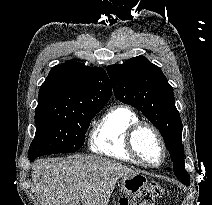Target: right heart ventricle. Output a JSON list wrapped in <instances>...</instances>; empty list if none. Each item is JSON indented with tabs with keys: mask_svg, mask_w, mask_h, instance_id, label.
I'll list each match as a JSON object with an SVG mask.
<instances>
[{
	"mask_svg": "<svg viewBox=\"0 0 212 205\" xmlns=\"http://www.w3.org/2000/svg\"><path fill=\"white\" fill-rule=\"evenodd\" d=\"M139 122L129 107L116 105L108 109L94 124L89 138L91 151L118 160L139 163L127 148V134Z\"/></svg>",
	"mask_w": 212,
	"mask_h": 205,
	"instance_id": "1",
	"label": "right heart ventricle"
}]
</instances>
